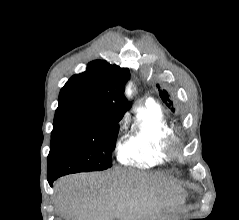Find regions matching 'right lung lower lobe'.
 Returning <instances> with one entry per match:
<instances>
[{
	"mask_svg": "<svg viewBox=\"0 0 239 220\" xmlns=\"http://www.w3.org/2000/svg\"><path fill=\"white\" fill-rule=\"evenodd\" d=\"M54 180H55L54 178H51V179H50V178H48V182H49V184H50L51 186H52V184H53Z\"/></svg>",
	"mask_w": 239,
	"mask_h": 220,
	"instance_id": "obj_1",
	"label": "right lung lower lobe"
}]
</instances>
